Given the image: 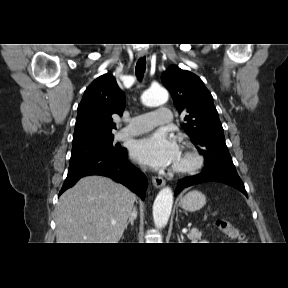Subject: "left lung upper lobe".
<instances>
[{
	"mask_svg": "<svg viewBox=\"0 0 288 288\" xmlns=\"http://www.w3.org/2000/svg\"><path fill=\"white\" fill-rule=\"evenodd\" d=\"M161 81L170 91L179 113H187L186 133L205 158L203 171L219 170L237 174L225 143L224 132L213 97L202 80L178 66L169 67Z\"/></svg>",
	"mask_w": 288,
	"mask_h": 288,
	"instance_id": "5c2ea615",
	"label": "left lung upper lobe"
}]
</instances>
